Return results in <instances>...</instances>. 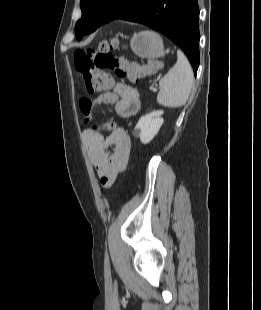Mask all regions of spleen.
Returning <instances> with one entry per match:
<instances>
[{
  "label": "spleen",
  "mask_w": 261,
  "mask_h": 310,
  "mask_svg": "<svg viewBox=\"0 0 261 310\" xmlns=\"http://www.w3.org/2000/svg\"><path fill=\"white\" fill-rule=\"evenodd\" d=\"M194 84L192 67L182 53L177 51V62L159 82L157 102L160 105L178 108L186 104Z\"/></svg>",
  "instance_id": "obj_1"
}]
</instances>
